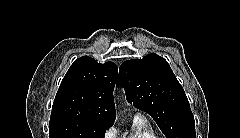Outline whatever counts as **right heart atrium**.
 Wrapping results in <instances>:
<instances>
[{"label":"right heart atrium","mask_w":240,"mask_h":138,"mask_svg":"<svg viewBox=\"0 0 240 138\" xmlns=\"http://www.w3.org/2000/svg\"><path fill=\"white\" fill-rule=\"evenodd\" d=\"M115 135H116V130L114 127H109L104 133L105 138H115Z\"/></svg>","instance_id":"d8ad5b80"}]
</instances>
